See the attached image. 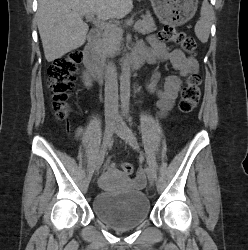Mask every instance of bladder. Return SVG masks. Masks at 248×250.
I'll use <instances>...</instances> for the list:
<instances>
[{
  "instance_id": "1",
  "label": "bladder",
  "mask_w": 248,
  "mask_h": 250,
  "mask_svg": "<svg viewBox=\"0 0 248 250\" xmlns=\"http://www.w3.org/2000/svg\"><path fill=\"white\" fill-rule=\"evenodd\" d=\"M94 213L116 229H130L145 221L151 212L150 201L141 190L124 193L104 191L93 199Z\"/></svg>"
}]
</instances>
